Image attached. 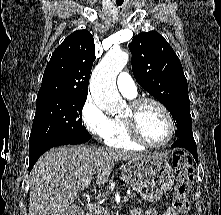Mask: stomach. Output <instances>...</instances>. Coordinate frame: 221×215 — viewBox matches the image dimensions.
<instances>
[{"label":"stomach","mask_w":221,"mask_h":215,"mask_svg":"<svg viewBox=\"0 0 221 215\" xmlns=\"http://www.w3.org/2000/svg\"><path fill=\"white\" fill-rule=\"evenodd\" d=\"M123 180L150 202L161 199L174 184L171 164L161 154L129 160L122 168Z\"/></svg>","instance_id":"0dacf381"}]
</instances>
